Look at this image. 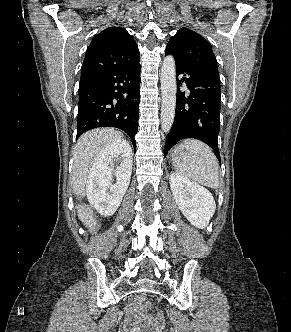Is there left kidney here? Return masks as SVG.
<instances>
[{"label": "left kidney", "mask_w": 291, "mask_h": 332, "mask_svg": "<svg viewBox=\"0 0 291 332\" xmlns=\"http://www.w3.org/2000/svg\"><path fill=\"white\" fill-rule=\"evenodd\" d=\"M169 180L172 194L181 212L192 225L205 228L216 210L211 192L178 172H172Z\"/></svg>", "instance_id": "left-kidney-1"}]
</instances>
